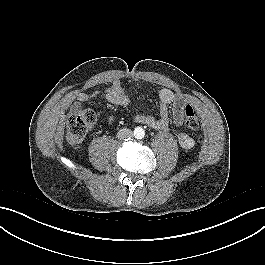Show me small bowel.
<instances>
[{"mask_svg": "<svg viewBox=\"0 0 265 265\" xmlns=\"http://www.w3.org/2000/svg\"><path fill=\"white\" fill-rule=\"evenodd\" d=\"M158 97L160 108L159 117L144 113H135L133 114L134 120L160 131L167 130L171 122L177 126L182 125L184 121V108L188 105V98L168 88L160 89ZM74 98L80 103L88 102L94 98H104L108 102L125 109H128L130 104V98L119 80H115L110 87L102 92L78 93ZM177 138L183 148L189 149L193 146V139L186 132H179Z\"/></svg>", "mask_w": 265, "mask_h": 265, "instance_id": "obj_1", "label": "small bowel"}]
</instances>
